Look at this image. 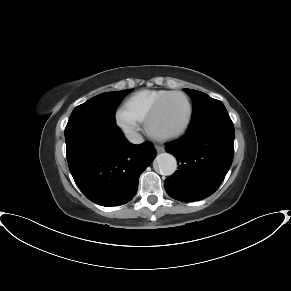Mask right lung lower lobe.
Listing matches in <instances>:
<instances>
[{
    "label": "right lung lower lobe",
    "mask_w": 291,
    "mask_h": 291,
    "mask_svg": "<svg viewBox=\"0 0 291 291\" xmlns=\"http://www.w3.org/2000/svg\"><path fill=\"white\" fill-rule=\"evenodd\" d=\"M67 161L83 194L101 206H119L137 192L141 173L156 156L153 145H133L115 122L75 118L65 128Z\"/></svg>",
    "instance_id": "1"
}]
</instances>
